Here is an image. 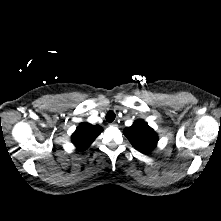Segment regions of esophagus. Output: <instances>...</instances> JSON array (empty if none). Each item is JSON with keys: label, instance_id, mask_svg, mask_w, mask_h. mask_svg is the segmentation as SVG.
Here are the masks:
<instances>
[{"label": "esophagus", "instance_id": "1", "mask_svg": "<svg viewBox=\"0 0 221 221\" xmlns=\"http://www.w3.org/2000/svg\"><path fill=\"white\" fill-rule=\"evenodd\" d=\"M110 125H111V126H114V127H117V126H118V124H117L116 122H112Z\"/></svg>", "mask_w": 221, "mask_h": 221}]
</instances>
